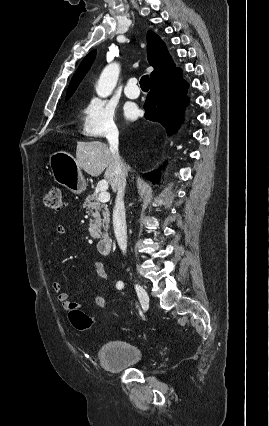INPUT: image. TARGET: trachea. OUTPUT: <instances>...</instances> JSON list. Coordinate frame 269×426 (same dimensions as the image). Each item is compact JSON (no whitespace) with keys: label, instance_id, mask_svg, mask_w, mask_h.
<instances>
[{"label":"trachea","instance_id":"obj_1","mask_svg":"<svg viewBox=\"0 0 269 426\" xmlns=\"http://www.w3.org/2000/svg\"><path fill=\"white\" fill-rule=\"evenodd\" d=\"M140 86L141 88H149V76L144 75L140 79Z\"/></svg>","mask_w":269,"mask_h":426}]
</instances>
